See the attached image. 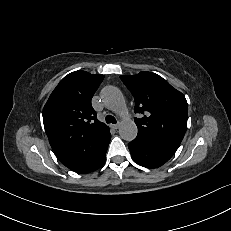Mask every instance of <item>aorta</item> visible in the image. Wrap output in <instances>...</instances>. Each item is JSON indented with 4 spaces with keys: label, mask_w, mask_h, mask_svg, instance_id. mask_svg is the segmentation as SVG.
Segmentation results:
<instances>
[{
    "label": "aorta",
    "mask_w": 231,
    "mask_h": 231,
    "mask_svg": "<svg viewBox=\"0 0 231 231\" xmlns=\"http://www.w3.org/2000/svg\"><path fill=\"white\" fill-rule=\"evenodd\" d=\"M101 98L105 106L122 114L125 108V100L121 91L114 86H106L101 91ZM137 126L131 119L124 118L119 125V135L123 140L132 141L137 136Z\"/></svg>",
    "instance_id": "1"
}]
</instances>
